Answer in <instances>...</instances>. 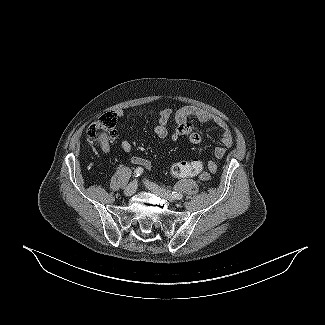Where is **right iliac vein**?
Segmentation results:
<instances>
[{
    "label": "right iliac vein",
    "instance_id": "obj_1",
    "mask_svg": "<svg viewBox=\"0 0 325 325\" xmlns=\"http://www.w3.org/2000/svg\"><path fill=\"white\" fill-rule=\"evenodd\" d=\"M137 190V182H131L124 190V194L126 196H132Z\"/></svg>",
    "mask_w": 325,
    "mask_h": 325
}]
</instances>
